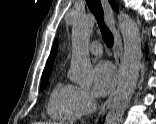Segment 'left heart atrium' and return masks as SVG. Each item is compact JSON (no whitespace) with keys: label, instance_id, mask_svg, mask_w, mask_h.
<instances>
[{"label":"left heart atrium","instance_id":"left-heart-atrium-1","mask_svg":"<svg viewBox=\"0 0 156 124\" xmlns=\"http://www.w3.org/2000/svg\"><path fill=\"white\" fill-rule=\"evenodd\" d=\"M116 71L114 66L107 61L99 62L94 68V90L97 95L108 94L114 86Z\"/></svg>","mask_w":156,"mask_h":124}]
</instances>
